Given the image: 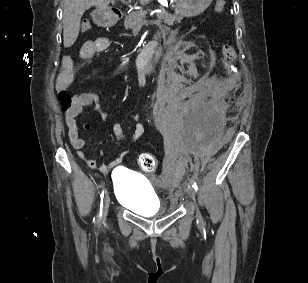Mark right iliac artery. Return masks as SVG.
I'll use <instances>...</instances> for the list:
<instances>
[{"label": "right iliac artery", "mask_w": 308, "mask_h": 283, "mask_svg": "<svg viewBox=\"0 0 308 283\" xmlns=\"http://www.w3.org/2000/svg\"><path fill=\"white\" fill-rule=\"evenodd\" d=\"M104 194H106L105 190H103L102 193L100 194V203H99V210H98V215H97V222L98 223L102 220Z\"/></svg>", "instance_id": "obj_1"}]
</instances>
